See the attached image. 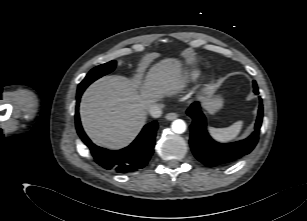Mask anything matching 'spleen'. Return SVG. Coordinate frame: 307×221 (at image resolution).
I'll return each instance as SVG.
<instances>
[{"label":"spleen","instance_id":"obj_1","mask_svg":"<svg viewBox=\"0 0 307 221\" xmlns=\"http://www.w3.org/2000/svg\"><path fill=\"white\" fill-rule=\"evenodd\" d=\"M243 126V121H237L226 128H214L209 127L208 131L210 135L219 142H229L235 139L240 133Z\"/></svg>","mask_w":307,"mask_h":221}]
</instances>
